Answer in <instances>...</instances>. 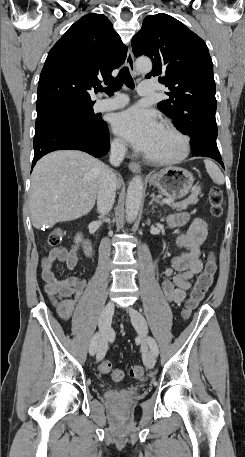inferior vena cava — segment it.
Listing matches in <instances>:
<instances>
[{"instance_id": "1", "label": "inferior vena cava", "mask_w": 245, "mask_h": 457, "mask_svg": "<svg viewBox=\"0 0 245 457\" xmlns=\"http://www.w3.org/2000/svg\"><path fill=\"white\" fill-rule=\"evenodd\" d=\"M126 144L124 140H114L111 144V154L110 162L113 166H119L124 158L126 152ZM116 174L112 170H102L98 184V198H97V208L103 218L104 214H107L113 206L115 200V190H116Z\"/></svg>"}]
</instances>
